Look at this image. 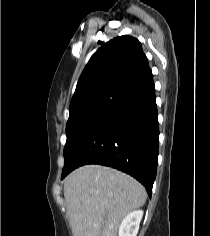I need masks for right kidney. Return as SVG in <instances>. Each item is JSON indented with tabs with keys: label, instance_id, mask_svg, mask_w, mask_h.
I'll list each match as a JSON object with an SVG mask.
<instances>
[{
	"label": "right kidney",
	"instance_id": "ca27d5eb",
	"mask_svg": "<svg viewBox=\"0 0 210 236\" xmlns=\"http://www.w3.org/2000/svg\"><path fill=\"white\" fill-rule=\"evenodd\" d=\"M143 217L142 210L129 213L119 227L118 236H136L139 230L140 221Z\"/></svg>",
	"mask_w": 210,
	"mask_h": 236
}]
</instances>
